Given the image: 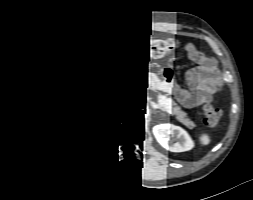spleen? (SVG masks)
<instances>
[{
    "label": "spleen",
    "instance_id": "obj_1",
    "mask_svg": "<svg viewBox=\"0 0 253 200\" xmlns=\"http://www.w3.org/2000/svg\"><path fill=\"white\" fill-rule=\"evenodd\" d=\"M199 140H200V144H201L202 146L208 145V144L210 143V141H211L209 135L206 134V133L201 134V135L199 136Z\"/></svg>",
    "mask_w": 253,
    "mask_h": 200
}]
</instances>
